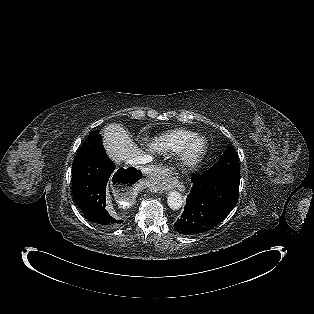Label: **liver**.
I'll list each match as a JSON object with an SVG mask.
<instances>
[{"instance_id": "obj_1", "label": "liver", "mask_w": 314, "mask_h": 314, "mask_svg": "<svg viewBox=\"0 0 314 314\" xmlns=\"http://www.w3.org/2000/svg\"><path fill=\"white\" fill-rule=\"evenodd\" d=\"M103 145L109 157L117 164L140 155V150L125 129L109 124L102 131Z\"/></svg>"}]
</instances>
